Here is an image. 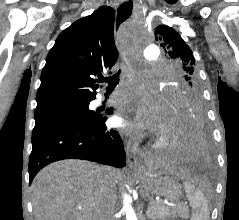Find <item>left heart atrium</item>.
Wrapping results in <instances>:
<instances>
[{"mask_svg": "<svg viewBox=\"0 0 239 220\" xmlns=\"http://www.w3.org/2000/svg\"><path fill=\"white\" fill-rule=\"evenodd\" d=\"M122 101L126 110H129L131 106L136 107L135 112L138 114V122L136 126L138 129L151 130L155 127L157 121L156 111L149 106L145 98L138 93L123 94ZM113 124L127 133H131L134 128L133 122L122 115L115 116Z\"/></svg>", "mask_w": 239, "mask_h": 220, "instance_id": "1", "label": "left heart atrium"}]
</instances>
